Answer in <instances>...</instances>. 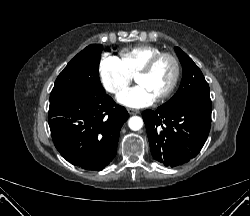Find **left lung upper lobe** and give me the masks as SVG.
<instances>
[{
    "label": "left lung upper lobe",
    "instance_id": "1",
    "mask_svg": "<svg viewBox=\"0 0 250 216\" xmlns=\"http://www.w3.org/2000/svg\"><path fill=\"white\" fill-rule=\"evenodd\" d=\"M174 49L182 65V81L177 93L162 106L171 108L190 102L212 105L208 83L199 67L179 47Z\"/></svg>",
    "mask_w": 250,
    "mask_h": 216
}]
</instances>
